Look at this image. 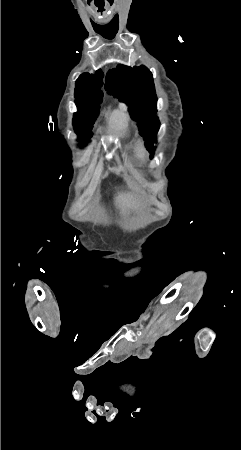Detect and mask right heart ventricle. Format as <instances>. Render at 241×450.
<instances>
[{"mask_svg":"<svg viewBox=\"0 0 241 450\" xmlns=\"http://www.w3.org/2000/svg\"><path fill=\"white\" fill-rule=\"evenodd\" d=\"M128 130V117L123 109L115 110L108 119V134L110 138L125 136Z\"/></svg>","mask_w":241,"mask_h":450,"instance_id":"right-heart-ventricle-1","label":"right heart ventricle"}]
</instances>
